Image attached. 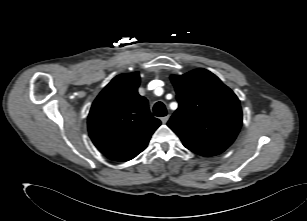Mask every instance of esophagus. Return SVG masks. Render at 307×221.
<instances>
[{
	"label": "esophagus",
	"instance_id": "obj_1",
	"mask_svg": "<svg viewBox=\"0 0 307 221\" xmlns=\"http://www.w3.org/2000/svg\"><path fill=\"white\" fill-rule=\"evenodd\" d=\"M169 117H170L169 115H166V116L162 117V118H161L162 123H163V124H166L167 121L169 120Z\"/></svg>",
	"mask_w": 307,
	"mask_h": 221
}]
</instances>
